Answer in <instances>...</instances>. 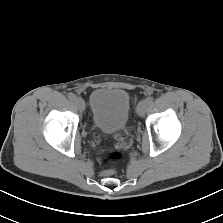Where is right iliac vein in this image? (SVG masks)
Masks as SVG:
<instances>
[{
	"label": "right iliac vein",
	"mask_w": 223,
	"mask_h": 223,
	"mask_svg": "<svg viewBox=\"0 0 223 223\" xmlns=\"http://www.w3.org/2000/svg\"><path fill=\"white\" fill-rule=\"evenodd\" d=\"M75 105L78 107L79 110L83 111L85 109V102L82 98L77 97L74 100Z\"/></svg>",
	"instance_id": "1"
}]
</instances>
